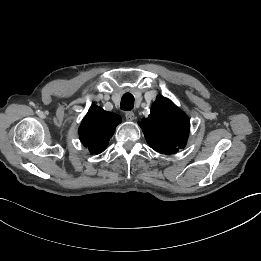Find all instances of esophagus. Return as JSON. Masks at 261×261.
I'll use <instances>...</instances> for the list:
<instances>
[{
	"instance_id": "1",
	"label": "esophagus",
	"mask_w": 261,
	"mask_h": 261,
	"mask_svg": "<svg viewBox=\"0 0 261 261\" xmlns=\"http://www.w3.org/2000/svg\"><path fill=\"white\" fill-rule=\"evenodd\" d=\"M125 118L127 121H133L135 119V114L132 111H127L125 113Z\"/></svg>"
}]
</instances>
